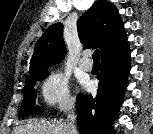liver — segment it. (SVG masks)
<instances>
[{
  "label": "liver",
  "instance_id": "liver-1",
  "mask_svg": "<svg viewBox=\"0 0 153 134\" xmlns=\"http://www.w3.org/2000/svg\"><path fill=\"white\" fill-rule=\"evenodd\" d=\"M67 124L56 121H35L18 126L13 134H68Z\"/></svg>",
  "mask_w": 153,
  "mask_h": 134
}]
</instances>
